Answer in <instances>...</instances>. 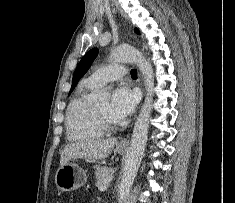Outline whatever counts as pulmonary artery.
Returning <instances> with one entry per match:
<instances>
[{
	"label": "pulmonary artery",
	"instance_id": "obj_1",
	"mask_svg": "<svg viewBox=\"0 0 235 203\" xmlns=\"http://www.w3.org/2000/svg\"><path fill=\"white\" fill-rule=\"evenodd\" d=\"M127 73V69L122 64H109L92 73L86 81L95 87L115 81L123 77Z\"/></svg>",
	"mask_w": 235,
	"mask_h": 203
}]
</instances>
